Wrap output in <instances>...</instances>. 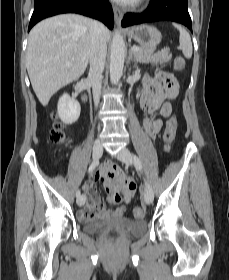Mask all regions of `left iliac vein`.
<instances>
[{"label": "left iliac vein", "instance_id": "4c4485c4", "mask_svg": "<svg viewBox=\"0 0 229 280\" xmlns=\"http://www.w3.org/2000/svg\"><path fill=\"white\" fill-rule=\"evenodd\" d=\"M120 161L125 163L126 165L133 164V158L130 151L127 148H122L120 152L116 156ZM153 190L149 184L145 185L144 189V201L146 204L150 205L153 202Z\"/></svg>", "mask_w": 229, "mask_h": 280}]
</instances>
